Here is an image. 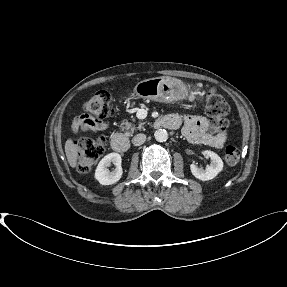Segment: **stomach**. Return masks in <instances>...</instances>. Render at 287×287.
Wrapping results in <instances>:
<instances>
[{"mask_svg": "<svg viewBox=\"0 0 287 287\" xmlns=\"http://www.w3.org/2000/svg\"><path fill=\"white\" fill-rule=\"evenodd\" d=\"M134 95L144 100L172 103L188 98L187 87L179 80L170 77L150 78L137 83Z\"/></svg>", "mask_w": 287, "mask_h": 287, "instance_id": "stomach-1", "label": "stomach"}]
</instances>
